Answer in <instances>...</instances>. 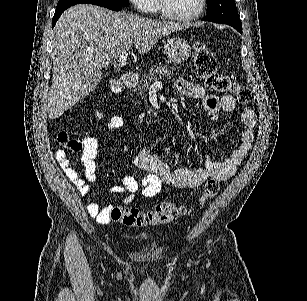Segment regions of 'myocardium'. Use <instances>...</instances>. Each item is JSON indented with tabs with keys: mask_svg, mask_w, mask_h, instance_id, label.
I'll list each match as a JSON object with an SVG mask.
<instances>
[{
	"mask_svg": "<svg viewBox=\"0 0 307 301\" xmlns=\"http://www.w3.org/2000/svg\"><path fill=\"white\" fill-rule=\"evenodd\" d=\"M155 17L163 18L164 22H192L201 15L205 0H198L196 11H168L165 0H159Z\"/></svg>",
	"mask_w": 307,
	"mask_h": 301,
	"instance_id": "1",
	"label": "myocardium"
}]
</instances>
